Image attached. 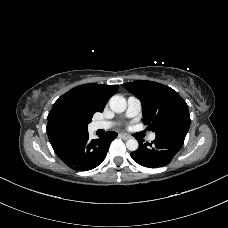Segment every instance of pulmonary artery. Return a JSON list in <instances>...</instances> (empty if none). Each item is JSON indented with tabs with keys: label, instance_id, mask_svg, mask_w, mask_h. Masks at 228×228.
Segmentation results:
<instances>
[{
	"label": "pulmonary artery",
	"instance_id": "e3ab8cb5",
	"mask_svg": "<svg viewBox=\"0 0 228 228\" xmlns=\"http://www.w3.org/2000/svg\"><path fill=\"white\" fill-rule=\"evenodd\" d=\"M142 109L141 101L136 96H130L127 99V109L125 115L129 118L137 116ZM115 123L110 121H95L93 123L94 129H108ZM155 134H150L149 140H155Z\"/></svg>",
	"mask_w": 228,
	"mask_h": 228
}]
</instances>
